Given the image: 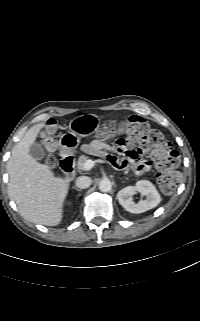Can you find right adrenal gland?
Listing matches in <instances>:
<instances>
[{"label": "right adrenal gland", "instance_id": "right-adrenal-gland-1", "mask_svg": "<svg viewBox=\"0 0 200 321\" xmlns=\"http://www.w3.org/2000/svg\"><path fill=\"white\" fill-rule=\"evenodd\" d=\"M72 189H74L76 191H81V189L77 188L76 186H73Z\"/></svg>", "mask_w": 200, "mask_h": 321}]
</instances>
